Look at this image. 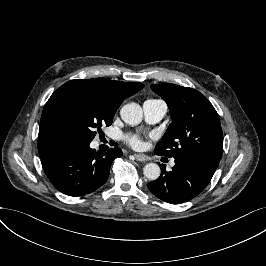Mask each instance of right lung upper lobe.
Wrapping results in <instances>:
<instances>
[{
    "label": "right lung upper lobe",
    "instance_id": "right-lung-upper-lobe-1",
    "mask_svg": "<svg viewBox=\"0 0 266 266\" xmlns=\"http://www.w3.org/2000/svg\"><path fill=\"white\" fill-rule=\"evenodd\" d=\"M71 81H90L103 85L110 96L119 101L123 102V100L131 95L137 93L141 90L144 85L142 83H127L121 81H114L105 78L98 79H79V80H71ZM60 143L56 134L54 133L52 126L49 122V119L46 115V112L43 110L40 127H39V136H38V150L40 158L45 157L47 152L53 148L56 144Z\"/></svg>",
    "mask_w": 266,
    "mask_h": 266
}]
</instances>
